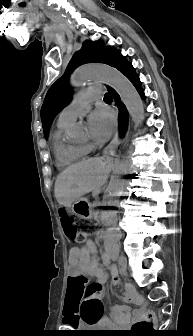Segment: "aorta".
<instances>
[{
  "mask_svg": "<svg viewBox=\"0 0 193 336\" xmlns=\"http://www.w3.org/2000/svg\"><path fill=\"white\" fill-rule=\"evenodd\" d=\"M91 80H100L113 87L125 104L133 122L138 126L144 120V107L142 100L132 83L117 69L108 65H83L78 67L71 76L70 83L73 87H79ZM83 130L75 125L70 136L78 139L82 136ZM129 160L123 159L116 165L114 175L110 181L109 206H117L119 197L124 191V179L122 178L129 169Z\"/></svg>",
  "mask_w": 193,
  "mask_h": 336,
  "instance_id": "aorta-1",
  "label": "aorta"
}]
</instances>
